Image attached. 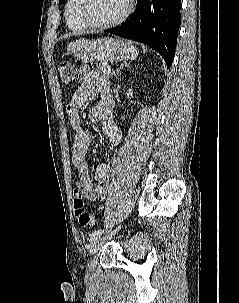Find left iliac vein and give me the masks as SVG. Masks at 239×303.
<instances>
[{
  "mask_svg": "<svg viewBox=\"0 0 239 303\" xmlns=\"http://www.w3.org/2000/svg\"><path fill=\"white\" fill-rule=\"evenodd\" d=\"M103 244V240L101 237H96L91 240L89 246H88V251L90 255H94L98 250L101 248Z\"/></svg>",
  "mask_w": 239,
  "mask_h": 303,
  "instance_id": "4c4485c4",
  "label": "left iliac vein"
}]
</instances>
